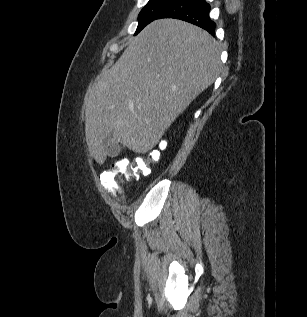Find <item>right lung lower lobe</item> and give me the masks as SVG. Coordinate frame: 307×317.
<instances>
[{"instance_id": "1", "label": "right lung lower lobe", "mask_w": 307, "mask_h": 317, "mask_svg": "<svg viewBox=\"0 0 307 317\" xmlns=\"http://www.w3.org/2000/svg\"><path fill=\"white\" fill-rule=\"evenodd\" d=\"M209 12L210 5L205 0H173L156 19H181L214 35L216 24L210 19Z\"/></svg>"}]
</instances>
